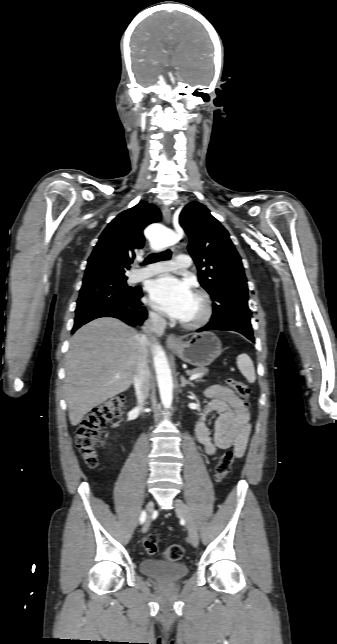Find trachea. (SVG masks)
<instances>
[{"mask_svg": "<svg viewBox=\"0 0 337 644\" xmlns=\"http://www.w3.org/2000/svg\"><path fill=\"white\" fill-rule=\"evenodd\" d=\"M171 254L172 252L170 250H166L158 254L150 255L145 259L144 264H149V263H154L161 260L170 259Z\"/></svg>", "mask_w": 337, "mask_h": 644, "instance_id": "3493384b", "label": "trachea"}]
</instances>
